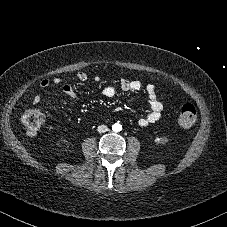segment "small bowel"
I'll list each match as a JSON object with an SVG mask.
<instances>
[{
	"label": "small bowel",
	"instance_id": "obj_1",
	"mask_svg": "<svg viewBox=\"0 0 227 227\" xmlns=\"http://www.w3.org/2000/svg\"><path fill=\"white\" fill-rule=\"evenodd\" d=\"M77 79L81 82H86L88 80V75L85 72H80L77 75ZM94 80L98 81L99 78L95 77ZM51 85L58 86L59 91L70 99H78L76 89L70 84L65 83L62 78L43 79L40 82L41 88H48ZM141 90H144L147 93L151 109L146 116L137 120L138 125L144 127L159 120L163 111L162 102L159 99L156 92V87L153 84H144L139 80L121 78L118 82L105 86L103 89V95L106 97H112L119 91L137 92ZM41 100V94L36 93L32 99V104L36 106L41 102Z\"/></svg>",
	"mask_w": 227,
	"mask_h": 227
}]
</instances>
